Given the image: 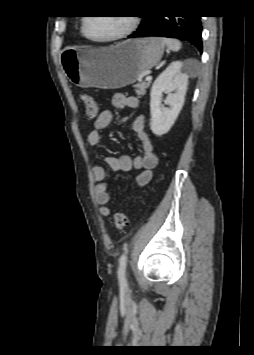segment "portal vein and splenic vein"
I'll return each mask as SVG.
<instances>
[{"mask_svg": "<svg viewBox=\"0 0 254 355\" xmlns=\"http://www.w3.org/2000/svg\"><path fill=\"white\" fill-rule=\"evenodd\" d=\"M152 77L151 76H147L146 77V81H151Z\"/></svg>", "mask_w": 254, "mask_h": 355, "instance_id": "1", "label": "portal vein and splenic vein"}]
</instances>
